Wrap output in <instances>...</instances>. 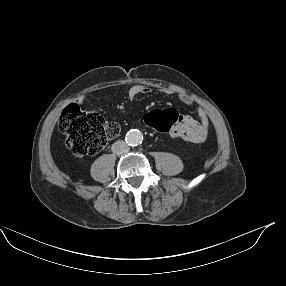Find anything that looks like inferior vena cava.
<instances>
[{"label": "inferior vena cava", "mask_w": 286, "mask_h": 286, "mask_svg": "<svg viewBox=\"0 0 286 286\" xmlns=\"http://www.w3.org/2000/svg\"><path fill=\"white\" fill-rule=\"evenodd\" d=\"M111 150L115 154H123L129 151V146L125 141H116L112 145Z\"/></svg>", "instance_id": "obj_1"}]
</instances>
